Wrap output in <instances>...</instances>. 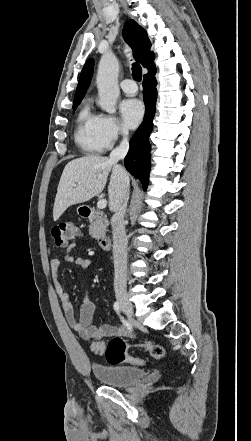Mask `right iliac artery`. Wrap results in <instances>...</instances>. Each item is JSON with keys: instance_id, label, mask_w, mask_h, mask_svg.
I'll return each mask as SVG.
<instances>
[{"instance_id": "obj_1", "label": "right iliac artery", "mask_w": 251, "mask_h": 441, "mask_svg": "<svg viewBox=\"0 0 251 441\" xmlns=\"http://www.w3.org/2000/svg\"><path fill=\"white\" fill-rule=\"evenodd\" d=\"M113 307H114V310L116 311V313L120 316L121 321L123 322V324L131 331L132 330L131 325L120 315V305H119V303L117 301L114 302Z\"/></svg>"}]
</instances>
